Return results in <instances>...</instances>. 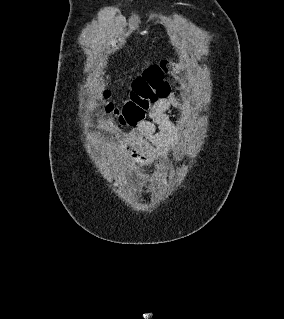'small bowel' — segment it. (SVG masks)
<instances>
[{
  "mask_svg": "<svg viewBox=\"0 0 284 319\" xmlns=\"http://www.w3.org/2000/svg\"><path fill=\"white\" fill-rule=\"evenodd\" d=\"M170 108L182 110L183 100L175 95L160 99L150 112V120L139 123L127 136L126 149L133 165L150 168L168 154V147L178 136L176 124L168 115Z\"/></svg>",
  "mask_w": 284,
  "mask_h": 319,
  "instance_id": "c3829d8e",
  "label": "small bowel"
}]
</instances>
